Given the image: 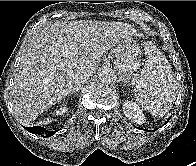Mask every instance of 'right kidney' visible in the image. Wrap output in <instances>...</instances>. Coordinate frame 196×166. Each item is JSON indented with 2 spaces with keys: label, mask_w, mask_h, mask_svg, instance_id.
<instances>
[{
  "label": "right kidney",
  "mask_w": 196,
  "mask_h": 166,
  "mask_svg": "<svg viewBox=\"0 0 196 166\" xmlns=\"http://www.w3.org/2000/svg\"><path fill=\"white\" fill-rule=\"evenodd\" d=\"M66 112H67V107H66V105H64V106H61L58 110H56L55 114L56 115H63Z\"/></svg>",
  "instance_id": "obj_1"
}]
</instances>
